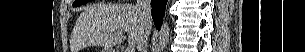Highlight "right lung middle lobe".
<instances>
[{"instance_id": "1", "label": "right lung middle lobe", "mask_w": 305, "mask_h": 52, "mask_svg": "<svg viewBox=\"0 0 305 52\" xmlns=\"http://www.w3.org/2000/svg\"><path fill=\"white\" fill-rule=\"evenodd\" d=\"M90 0H77L73 3V6H79V5H82L84 3H87L89 2Z\"/></svg>"}]
</instances>
